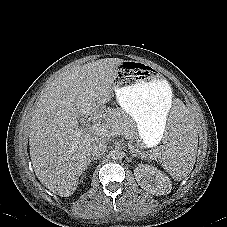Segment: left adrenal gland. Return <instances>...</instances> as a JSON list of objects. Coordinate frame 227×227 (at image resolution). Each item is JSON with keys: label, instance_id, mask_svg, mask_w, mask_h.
Returning <instances> with one entry per match:
<instances>
[{"label": "left adrenal gland", "instance_id": "left-adrenal-gland-1", "mask_svg": "<svg viewBox=\"0 0 227 227\" xmlns=\"http://www.w3.org/2000/svg\"><path fill=\"white\" fill-rule=\"evenodd\" d=\"M132 157H137V154H135L134 152H130Z\"/></svg>", "mask_w": 227, "mask_h": 227}]
</instances>
